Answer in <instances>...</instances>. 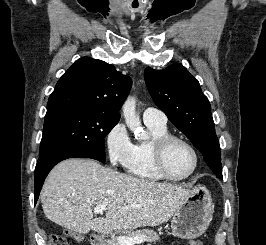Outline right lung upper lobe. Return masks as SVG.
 Here are the masks:
<instances>
[{
  "label": "right lung upper lobe",
  "mask_w": 266,
  "mask_h": 245,
  "mask_svg": "<svg viewBox=\"0 0 266 245\" xmlns=\"http://www.w3.org/2000/svg\"><path fill=\"white\" fill-rule=\"evenodd\" d=\"M131 78L102 60L82 57L60 78L49 97L46 116L73 109H91L120 116Z\"/></svg>",
  "instance_id": "right-lung-upper-lobe-1"
}]
</instances>
